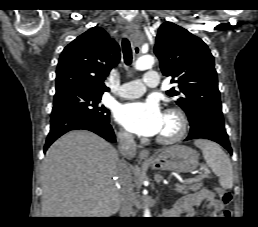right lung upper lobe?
<instances>
[{"instance_id":"1","label":"right lung upper lobe","mask_w":258,"mask_h":227,"mask_svg":"<svg viewBox=\"0 0 258 227\" xmlns=\"http://www.w3.org/2000/svg\"><path fill=\"white\" fill-rule=\"evenodd\" d=\"M120 60V47L100 27L78 36L62 51L56 71V93L80 90L103 94L105 76Z\"/></svg>"}]
</instances>
